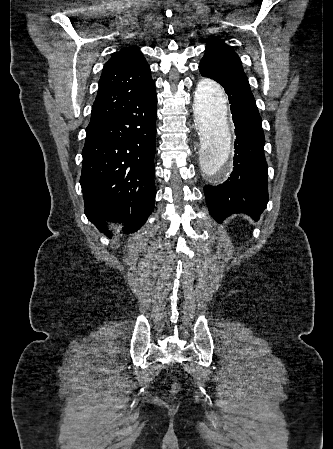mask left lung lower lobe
I'll return each mask as SVG.
<instances>
[{
	"instance_id": "1",
	"label": "left lung lower lobe",
	"mask_w": 333,
	"mask_h": 449,
	"mask_svg": "<svg viewBox=\"0 0 333 449\" xmlns=\"http://www.w3.org/2000/svg\"><path fill=\"white\" fill-rule=\"evenodd\" d=\"M221 85L229 97L235 125L234 168L224 184L204 187L206 201L210 214L218 222L237 212L257 220L269 199L262 119L251 91Z\"/></svg>"
}]
</instances>
